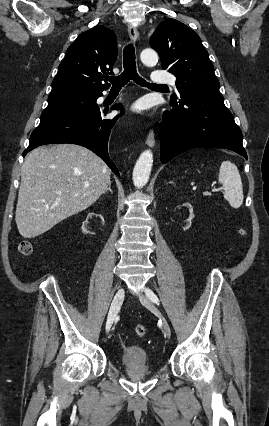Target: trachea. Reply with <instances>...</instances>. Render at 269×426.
I'll return each instance as SVG.
<instances>
[{"label": "trachea", "instance_id": "obj_1", "mask_svg": "<svg viewBox=\"0 0 269 426\" xmlns=\"http://www.w3.org/2000/svg\"><path fill=\"white\" fill-rule=\"evenodd\" d=\"M123 67H124V71L119 76L106 77V79L112 84V88H122L130 80H133L135 83L139 84L140 86H147L149 88L165 87L164 85L148 83L138 75L136 70L135 48L133 44H128L124 48Z\"/></svg>", "mask_w": 269, "mask_h": 426}]
</instances>
